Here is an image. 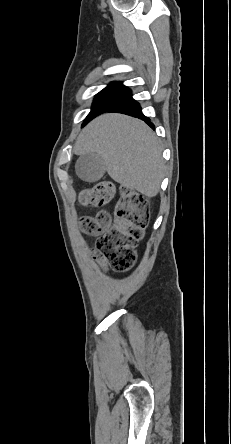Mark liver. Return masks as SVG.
<instances>
[{
  "label": "liver",
  "mask_w": 231,
  "mask_h": 444,
  "mask_svg": "<svg viewBox=\"0 0 231 444\" xmlns=\"http://www.w3.org/2000/svg\"><path fill=\"white\" fill-rule=\"evenodd\" d=\"M74 153L100 155L115 182L149 198L160 190L165 170L162 148L154 132L138 119L100 115L78 136Z\"/></svg>",
  "instance_id": "obj_1"
}]
</instances>
